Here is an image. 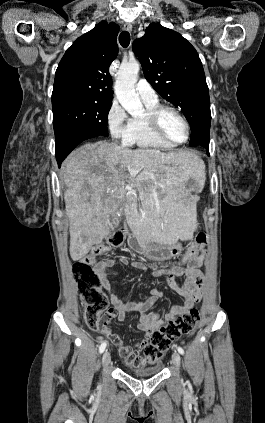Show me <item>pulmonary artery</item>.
<instances>
[{"label":"pulmonary artery","instance_id":"1","mask_svg":"<svg viewBox=\"0 0 265 423\" xmlns=\"http://www.w3.org/2000/svg\"><path fill=\"white\" fill-rule=\"evenodd\" d=\"M136 92L139 97L146 102L157 101V94L153 87L145 80H140L136 84Z\"/></svg>","mask_w":265,"mask_h":423}]
</instances>
